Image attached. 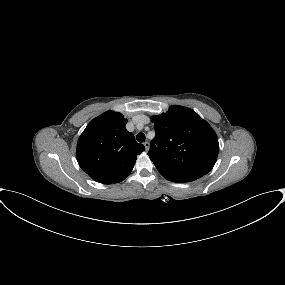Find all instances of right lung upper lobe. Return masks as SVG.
I'll use <instances>...</instances> for the list:
<instances>
[{
  "instance_id": "obj_1",
  "label": "right lung upper lobe",
  "mask_w": 285,
  "mask_h": 285,
  "mask_svg": "<svg viewBox=\"0 0 285 285\" xmlns=\"http://www.w3.org/2000/svg\"><path fill=\"white\" fill-rule=\"evenodd\" d=\"M127 119L107 111L93 119L77 143V161L92 179L104 184L123 181L132 171L136 157L145 150L125 128Z\"/></svg>"
}]
</instances>
